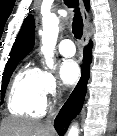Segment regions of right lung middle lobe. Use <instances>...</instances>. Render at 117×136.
<instances>
[{"label": "right lung middle lobe", "instance_id": "1", "mask_svg": "<svg viewBox=\"0 0 117 136\" xmlns=\"http://www.w3.org/2000/svg\"><path fill=\"white\" fill-rule=\"evenodd\" d=\"M22 59L8 60L5 71L3 74L2 88H1V100L4 99L5 90L10 80L12 72L15 70L17 63Z\"/></svg>", "mask_w": 117, "mask_h": 136}]
</instances>
